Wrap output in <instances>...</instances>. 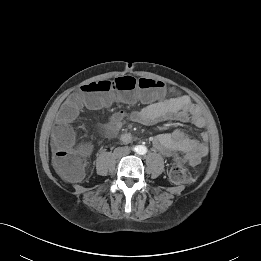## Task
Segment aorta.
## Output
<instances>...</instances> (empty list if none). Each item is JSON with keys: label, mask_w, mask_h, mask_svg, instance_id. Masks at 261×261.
Masks as SVG:
<instances>
[{"label": "aorta", "mask_w": 261, "mask_h": 261, "mask_svg": "<svg viewBox=\"0 0 261 261\" xmlns=\"http://www.w3.org/2000/svg\"><path fill=\"white\" fill-rule=\"evenodd\" d=\"M135 150H136V152H137L138 154H142V155L147 152V148H146L145 146H143V145L137 146V147L135 148Z\"/></svg>", "instance_id": "obj_1"}]
</instances>
